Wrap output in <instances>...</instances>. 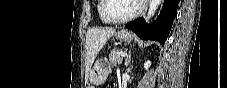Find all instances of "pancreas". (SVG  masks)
Listing matches in <instances>:
<instances>
[{
	"label": "pancreas",
	"mask_w": 227,
	"mask_h": 88,
	"mask_svg": "<svg viewBox=\"0 0 227 88\" xmlns=\"http://www.w3.org/2000/svg\"><path fill=\"white\" fill-rule=\"evenodd\" d=\"M122 51L119 49H113L109 54V61L111 64L116 65L121 64L123 61V57L121 56Z\"/></svg>",
	"instance_id": "1"
}]
</instances>
